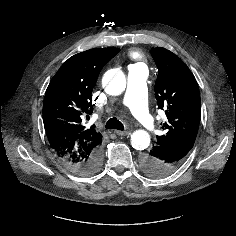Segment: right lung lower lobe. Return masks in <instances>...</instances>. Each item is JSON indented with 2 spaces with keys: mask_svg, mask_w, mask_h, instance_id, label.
Masks as SVG:
<instances>
[{
  "mask_svg": "<svg viewBox=\"0 0 236 236\" xmlns=\"http://www.w3.org/2000/svg\"><path fill=\"white\" fill-rule=\"evenodd\" d=\"M103 154L101 148L96 149L88 159L80 162H66L64 165L73 173L78 175H92L99 171L102 166Z\"/></svg>",
  "mask_w": 236,
  "mask_h": 236,
  "instance_id": "1",
  "label": "right lung lower lobe"
}]
</instances>
